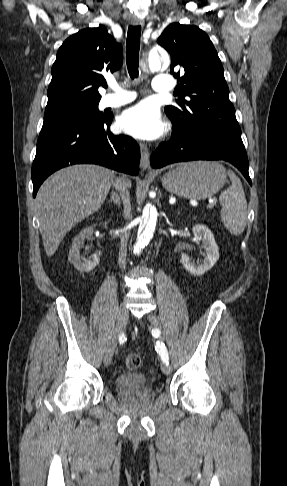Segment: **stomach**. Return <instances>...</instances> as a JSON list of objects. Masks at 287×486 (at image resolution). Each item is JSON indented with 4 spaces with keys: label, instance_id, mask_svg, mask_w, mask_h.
<instances>
[{
    "label": "stomach",
    "instance_id": "stomach-1",
    "mask_svg": "<svg viewBox=\"0 0 287 486\" xmlns=\"http://www.w3.org/2000/svg\"><path fill=\"white\" fill-rule=\"evenodd\" d=\"M161 182L170 193L201 200L212 197L224 186L226 172L216 162H186L163 175Z\"/></svg>",
    "mask_w": 287,
    "mask_h": 486
}]
</instances>
